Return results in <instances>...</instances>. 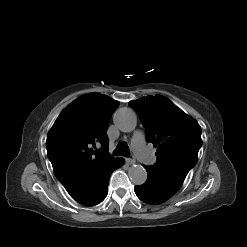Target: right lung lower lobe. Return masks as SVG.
Here are the masks:
<instances>
[{"mask_svg": "<svg viewBox=\"0 0 247 247\" xmlns=\"http://www.w3.org/2000/svg\"><path fill=\"white\" fill-rule=\"evenodd\" d=\"M123 163V158L116 159L109 167L91 177L69 194L75 201L84 206H94L101 203L108 194V182L111 173Z\"/></svg>", "mask_w": 247, "mask_h": 247, "instance_id": "98d812e1", "label": "right lung lower lobe"}]
</instances>
